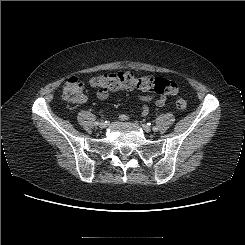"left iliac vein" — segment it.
Segmentation results:
<instances>
[{"instance_id": "obj_1", "label": "left iliac vein", "mask_w": 245, "mask_h": 245, "mask_svg": "<svg viewBox=\"0 0 245 245\" xmlns=\"http://www.w3.org/2000/svg\"><path fill=\"white\" fill-rule=\"evenodd\" d=\"M142 128L147 133L151 132V127L149 125H147V124H143Z\"/></svg>"}]
</instances>
